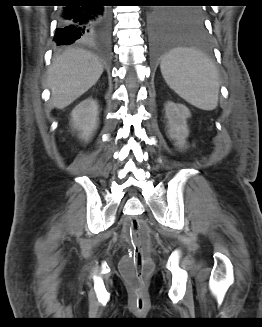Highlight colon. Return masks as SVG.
I'll return each mask as SVG.
<instances>
[{"instance_id": "5ec220e1", "label": "colon", "mask_w": 262, "mask_h": 327, "mask_svg": "<svg viewBox=\"0 0 262 327\" xmlns=\"http://www.w3.org/2000/svg\"><path fill=\"white\" fill-rule=\"evenodd\" d=\"M125 232L133 245V250L123 261L122 272L134 290L137 300L143 303L145 282L150 270V264L144 255L149 237L148 229L143 221L133 218L126 225Z\"/></svg>"}]
</instances>
